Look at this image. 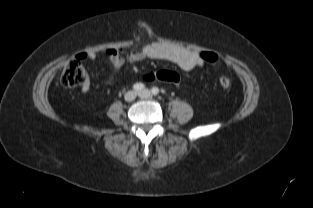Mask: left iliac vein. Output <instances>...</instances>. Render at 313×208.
I'll return each mask as SVG.
<instances>
[{
	"instance_id": "1",
	"label": "left iliac vein",
	"mask_w": 313,
	"mask_h": 208,
	"mask_svg": "<svg viewBox=\"0 0 313 208\" xmlns=\"http://www.w3.org/2000/svg\"><path fill=\"white\" fill-rule=\"evenodd\" d=\"M138 96L140 98H149L151 96V92L148 89H144V90L138 92Z\"/></svg>"
}]
</instances>
